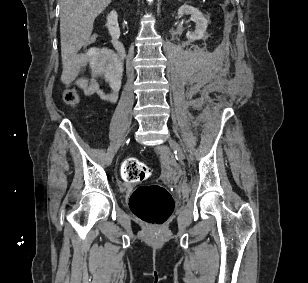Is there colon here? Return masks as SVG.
<instances>
[{
  "label": "colon",
  "instance_id": "obj_1",
  "mask_svg": "<svg viewBox=\"0 0 308 283\" xmlns=\"http://www.w3.org/2000/svg\"><path fill=\"white\" fill-rule=\"evenodd\" d=\"M93 34L86 42L91 46L96 42ZM63 100L70 106L77 105L80 96L75 88L63 92ZM151 175V170L137 158H127L121 166V176L126 182H143ZM129 207L133 214L143 222L161 226L167 222L174 209V200L170 192L160 185H140L134 189L129 199Z\"/></svg>",
  "mask_w": 308,
  "mask_h": 283
}]
</instances>
